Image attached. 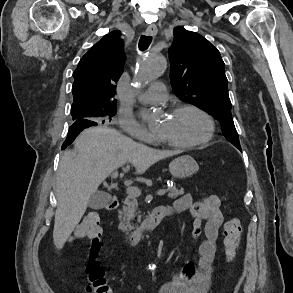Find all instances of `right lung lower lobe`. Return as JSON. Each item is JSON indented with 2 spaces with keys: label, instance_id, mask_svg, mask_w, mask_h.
Returning <instances> with one entry per match:
<instances>
[{
  "label": "right lung lower lobe",
  "instance_id": "98d812e1",
  "mask_svg": "<svg viewBox=\"0 0 293 293\" xmlns=\"http://www.w3.org/2000/svg\"><path fill=\"white\" fill-rule=\"evenodd\" d=\"M97 125V122L90 119H79L76 120L69 128V132L66 140L62 145V150H64L68 145H70L76 136L84 129L90 126Z\"/></svg>",
  "mask_w": 293,
  "mask_h": 293
}]
</instances>
